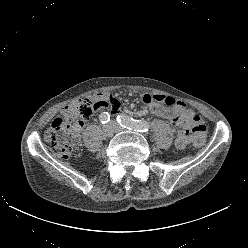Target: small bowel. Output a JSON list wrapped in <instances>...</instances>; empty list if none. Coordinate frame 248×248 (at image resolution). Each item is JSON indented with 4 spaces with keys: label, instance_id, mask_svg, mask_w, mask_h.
<instances>
[{
    "label": "small bowel",
    "instance_id": "1",
    "mask_svg": "<svg viewBox=\"0 0 248 248\" xmlns=\"http://www.w3.org/2000/svg\"><path fill=\"white\" fill-rule=\"evenodd\" d=\"M154 96L144 94L142 96V101L146 105L139 113L145 114L150 112L158 117L168 120L170 123L181 128V131L176 137V146L179 149H185L189 144L192 135H194L193 128L200 123L199 117L190 109L178 101L176 106H167L159 101L161 98H158V101L155 100ZM160 96V95H157ZM93 98L100 103L99 111L109 110L111 113H115L119 110L120 103L118 99L112 95L106 93H99L93 96ZM166 104H169V100H165ZM77 104H72L65 107L62 111L63 114L72 110L76 107Z\"/></svg>",
    "mask_w": 248,
    "mask_h": 248
}]
</instances>
